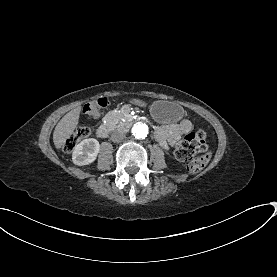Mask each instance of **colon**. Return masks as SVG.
Returning <instances> with one entry per match:
<instances>
[{
	"label": "colon",
	"mask_w": 277,
	"mask_h": 277,
	"mask_svg": "<svg viewBox=\"0 0 277 277\" xmlns=\"http://www.w3.org/2000/svg\"><path fill=\"white\" fill-rule=\"evenodd\" d=\"M111 105V100L100 96L89 100L83 107V112L91 117L100 115ZM90 130L88 127L80 128L72 134L64 143V151H70L79 141L88 138ZM202 153L197 157L196 154ZM177 159L187 162V168L191 173H198L204 169L210 158V148L207 143L206 132L203 130L191 133L181 140L175 150Z\"/></svg>",
	"instance_id": "obj_1"
}]
</instances>
